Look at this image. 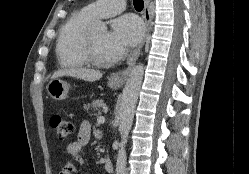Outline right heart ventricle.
Masks as SVG:
<instances>
[{"label": "right heart ventricle", "mask_w": 249, "mask_h": 174, "mask_svg": "<svg viewBox=\"0 0 249 174\" xmlns=\"http://www.w3.org/2000/svg\"><path fill=\"white\" fill-rule=\"evenodd\" d=\"M93 20L82 10L73 14L62 27L56 46L57 57L62 66L82 67L87 65L84 45Z\"/></svg>", "instance_id": "e07e8e85"}]
</instances>
